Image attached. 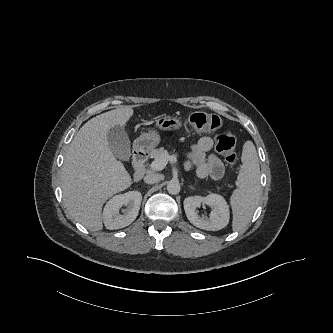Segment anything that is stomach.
I'll use <instances>...</instances> for the list:
<instances>
[{"label": "stomach", "mask_w": 333, "mask_h": 333, "mask_svg": "<svg viewBox=\"0 0 333 333\" xmlns=\"http://www.w3.org/2000/svg\"><path fill=\"white\" fill-rule=\"evenodd\" d=\"M182 126V121L171 115H162L156 119V127L159 130H176ZM160 143V134L156 129H149L143 132L134 141V148L139 151H149Z\"/></svg>", "instance_id": "0dacf381"}]
</instances>
